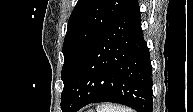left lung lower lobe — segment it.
Here are the masks:
<instances>
[{"label": "left lung lower lobe", "instance_id": "obj_1", "mask_svg": "<svg viewBox=\"0 0 193 112\" xmlns=\"http://www.w3.org/2000/svg\"><path fill=\"white\" fill-rule=\"evenodd\" d=\"M152 66L140 9L132 0L83 57L64 100L63 112L90 103L113 102L152 112Z\"/></svg>", "mask_w": 193, "mask_h": 112}]
</instances>
